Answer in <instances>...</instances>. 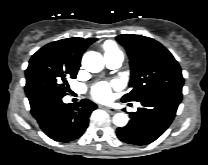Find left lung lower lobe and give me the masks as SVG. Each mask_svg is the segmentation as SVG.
I'll return each instance as SVG.
<instances>
[{
  "label": "left lung lower lobe",
  "mask_w": 208,
  "mask_h": 165,
  "mask_svg": "<svg viewBox=\"0 0 208 165\" xmlns=\"http://www.w3.org/2000/svg\"><path fill=\"white\" fill-rule=\"evenodd\" d=\"M182 94L159 93L140 101L142 108L130 113L131 120L118 128V138L128 144L146 145L160 137L173 121Z\"/></svg>",
  "instance_id": "1"
}]
</instances>
